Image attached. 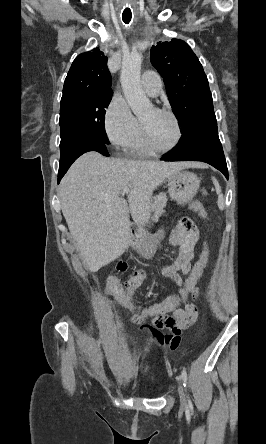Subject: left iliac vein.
Segmentation results:
<instances>
[{
  "label": "left iliac vein",
  "instance_id": "left-iliac-vein-1",
  "mask_svg": "<svg viewBox=\"0 0 266 444\" xmlns=\"http://www.w3.org/2000/svg\"><path fill=\"white\" fill-rule=\"evenodd\" d=\"M178 393H179L181 405L183 407H185L186 406V399H185L184 388L182 385L181 378L178 379Z\"/></svg>",
  "mask_w": 266,
  "mask_h": 444
}]
</instances>
